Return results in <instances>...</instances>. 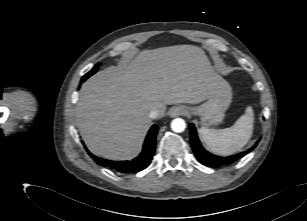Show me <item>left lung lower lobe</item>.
<instances>
[{
    "mask_svg": "<svg viewBox=\"0 0 307 221\" xmlns=\"http://www.w3.org/2000/svg\"><path fill=\"white\" fill-rule=\"evenodd\" d=\"M190 131H191L190 142H191V145H192V148H193V151H194L196 158L203 165H207V166H211V167H220V166H223V165L231 164V163L237 161L238 159H240L241 157H243L244 155H246L247 153H249L256 146L255 145L252 148H250L249 150L242 152V153H239V154H236L234 156L220 157V156H216V155L209 153L208 151H206L202 147V145L200 144V142L198 140L197 132H196V129H195L193 124H190Z\"/></svg>",
    "mask_w": 307,
    "mask_h": 221,
    "instance_id": "1",
    "label": "left lung lower lobe"
}]
</instances>
